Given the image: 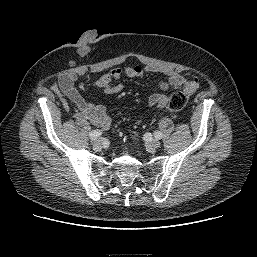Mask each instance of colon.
<instances>
[{"label": "colon", "mask_w": 257, "mask_h": 257, "mask_svg": "<svg viewBox=\"0 0 257 257\" xmlns=\"http://www.w3.org/2000/svg\"><path fill=\"white\" fill-rule=\"evenodd\" d=\"M189 95L186 92L174 93L168 101L167 109L169 111H179L185 107L188 102Z\"/></svg>", "instance_id": "1"}]
</instances>
